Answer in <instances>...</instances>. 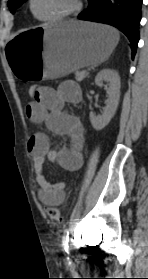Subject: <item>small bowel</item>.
Returning <instances> with one entry per match:
<instances>
[{
	"instance_id": "obj_1",
	"label": "small bowel",
	"mask_w": 148,
	"mask_h": 279,
	"mask_svg": "<svg viewBox=\"0 0 148 279\" xmlns=\"http://www.w3.org/2000/svg\"><path fill=\"white\" fill-rule=\"evenodd\" d=\"M80 98L79 86L73 81H65L57 89L40 87L38 97L26 106V115L31 122L45 124L51 132L66 136L71 142L68 147L53 150L45 133H36L29 139L28 150L34 162L39 198L48 205H59L63 202L66 182H49L43 174L45 161L57 164L67 171L78 170L82 165L83 127L78 118L64 109L66 104L77 103Z\"/></svg>"
}]
</instances>
